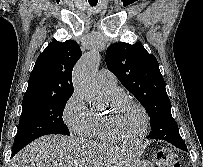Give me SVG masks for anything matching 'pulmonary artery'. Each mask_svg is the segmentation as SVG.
<instances>
[{
  "label": "pulmonary artery",
  "mask_w": 203,
  "mask_h": 167,
  "mask_svg": "<svg viewBox=\"0 0 203 167\" xmlns=\"http://www.w3.org/2000/svg\"><path fill=\"white\" fill-rule=\"evenodd\" d=\"M97 83L102 89L116 88L117 78L107 69H102L97 74Z\"/></svg>",
  "instance_id": "pulmonary-artery-1"
}]
</instances>
